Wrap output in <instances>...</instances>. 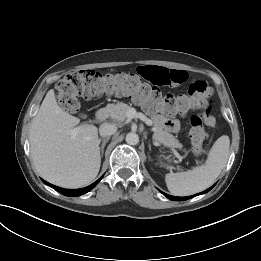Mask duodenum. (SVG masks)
<instances>
[{"label":"duodenum","mask_w":261,"mask_h":261,"mask_svg":"<svg viewBox=\"0 0 261 261\" xmlns=\"http://www.w3.org/2000/svg\"><path fill=\"white\" fill-rule=\"evenodd\" d=\"M108 116V111L107 109L103 108V109H100L96 112V119L98 121H104Z\"/></svg>","instance_id":"1"}]
</instances>
